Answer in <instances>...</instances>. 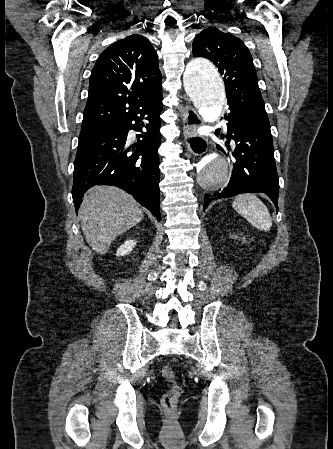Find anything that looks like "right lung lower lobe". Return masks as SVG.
<instances>
[{
	"label": "right lung lower lobe",
	"mask_w": 333,
	"mask_h": 449,
	"mask_svg": "<svg viewBox=\"0 0 333 449\" xmlns=\"http://www.w3.org/2000/svg\"><path fill=\"white\" fill-rule=\"evenodd\" d=\"M162 109V96H159L114 122L81 130L72 187L76 211L87 189L105 184L124 189L161 220L158 148ZM143 118L149 123L144 125ZM131 129L144 133L137 135L134 144L127 140Z\"/></svg>",
	"instance_id": "1"
}]
</instances>
